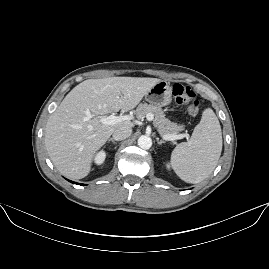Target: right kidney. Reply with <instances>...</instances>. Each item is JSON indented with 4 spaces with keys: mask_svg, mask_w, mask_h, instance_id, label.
I'll return each mask as SVG.
<instances>
[{
    "mask_svg": "<svg viewBox=\"0 0 269 269\" xmlns=\"http://www.w3.org/2000/svg\"><path fill=\"white\" fill-rule=\"evenodd\" d=\"M105 159V153L101 152L97 155L96 157V162L97 163H102Z\"/></svg>",
    "mask_w": 269,
    "mask_h": 269,
    "instance_id": "ca27d5eb",
    "label": "right kidney"
}]
</instances>
